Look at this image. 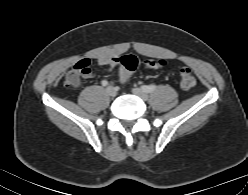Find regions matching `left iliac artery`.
<instances>
[{
  "instance_id": "left-iliac-artery-1",
  "label": "left iliac artery",
  "mask_w": 248,
  "mask_h": 195,
  "mask_svg": "<svg viewBox=\"0 0 248 195\" xmlns=\"http://www.w3.org/2000/svg\"><path fill=\"white\" fill-rule=\"evenodd\" d=\"M142 90L146 93H151L157 89V86L155 85H143Z\"/></svg>"
}]
</instances>
